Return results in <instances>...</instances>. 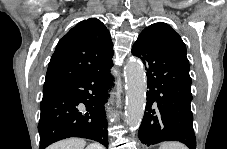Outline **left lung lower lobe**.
<instances>
[{"mask_svg":"<svg viewBox=\"0 0 227 149\" xmlns=\"http://www.w3.org/2000/svg\"><path fill=\"white\" fill-rule=\"evenodd\" d=\"M147 70V102L138 131L141 143L149 146L179 141L196 148L189 68L166 45L153 27H147L132 47Z\"/></svg>","mask_w":227,"mask_h":149,"instance_id":"left-lung-lower-lobe-1","label":"left lung lower lobe"}]
</instances>
